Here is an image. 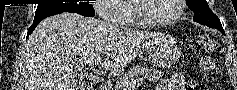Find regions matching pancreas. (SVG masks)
<instances>
[{"mask_svg":"<svg viewBox=\"0 0 237 90\" xmlns=\"http://www.w3.org/2000/svg\"><path fill=\"white\" fill-rule=\"evenodd\" d=\"M162 72L159 70H150V68H142V66H136L132 70H128L127 74H124L123 80H137V82H144V80H150V82H156L161 78Z\"/></svg>","mask_w":237,"mask_h":90,"instance_id":"obj_1","label":"pancreas"}]
</instances>
